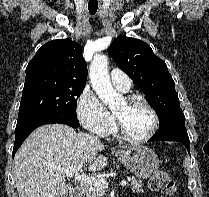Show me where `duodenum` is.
Returning <instances> with one entry per match:
<instances>
[{"mask_svg":"<svg viewBox=\"0 0 209 197\" xmlns=\"http://www.w3.org/2000/svg\"><path fill=\"white\" fill-rule=\"evenodd\" d=\"M70 197H82L81 189H74Z\"/></svg>","mask_w":209,"mask_h":197,"instance_id":"obj_1","label":"duodenum"}]
</instances>
